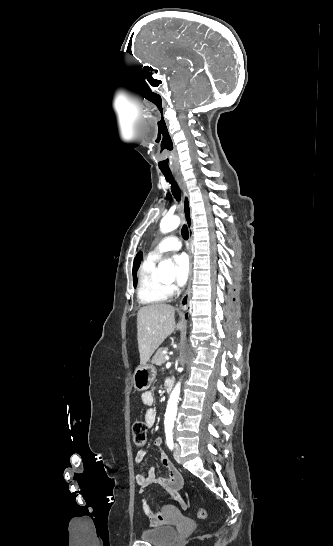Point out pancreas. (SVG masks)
I'll return each mask as SVG.
<instances>
[{"instance_id":"pancreas-1","label":"pancreas","mask_w":333,"mask_h":546,"mask_svg":"<svg viewBox=\"0 0 333 546\" xmlns=\"http://www.w3.org/2000/svg\"><path fill=\"white\" fill-rule=\"evenodd\" d=\"M168 350L167 347H164V348H160L157 350L156 354L153 356L152 358V363L153 364H156L158 366H161L162 364H164L166 362V359H165V352Z\"/></svg>"}]
</instances>
